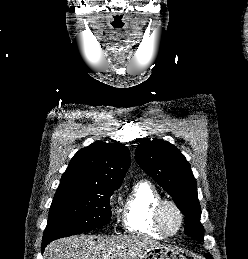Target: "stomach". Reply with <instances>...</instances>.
<instances>
[{"mask_svg":"<svg viewBox=\"0 0 248 259\" xmlns=\"http://www.w3.org/2000/svg\"><path fill=\"white\" fill-rule=\"evenodd\" d=\"M141 259H187L183 254L174 250L170 247L160 246L155 247L146 254L143 255Z\"/></svg>","mask_w":248,"mask_h":259,"instance_id":"1","label":"stomach"}]
</instances>
